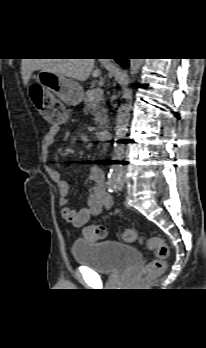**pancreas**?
<instances>
[{"instance_id": "pancreas-1", "label": "pancreas", "mask_w": 206, "mask_h": 348, "mask_svg": "<svg viewBox=\"0 0 206 348\" xmlns=\"http://www.w3.org/2000/svg\"><path fill=\"white\" fill-rule=\"evenodd\" d=\"M92 90L88 89L83 96V101L85 108L91 110L94 115L95 128L102 129L106 126L107 123V109L104 107L105 102L103 99L99 101H92Z\"/></svg>"}]
</instances>
